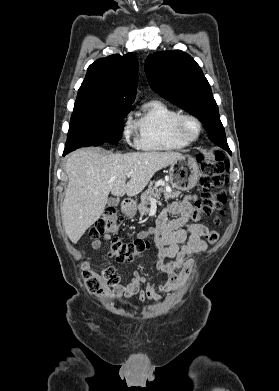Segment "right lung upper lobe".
Returning a JSON list of instances; mask_svg holds the SVG:
<instances>
[{
    "label": "right lung upper lobe",
    "mask_w": 279,
    "mask_h": 391,
    "mask_svg": "<svg viewBox=\"0 0 279 391\" xmlns=\"http://www.w3.org/2000/svg\"><path fill=\"white\" fill-rule=\"evenodd\" d=\"M138 61L133 53L114 54L88 67L78 90L74 112L101 108H130L135 100Z\"/></svg>",
    "instance_id": "right-lung-upper-lobe-1"
}]
</instances>
